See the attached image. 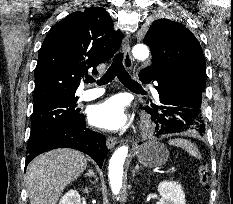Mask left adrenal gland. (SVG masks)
Instances as JSON below:
<instances>
[{
  "label": "left adrenal gland",
  "instance_id": "left-adrenal-gland-1",
  "mask_svg": "<svg viewBox=\"0 0 233 204\" xmlns=\"http://www.w3.org/2000/svg\"><path fill=\"white\" fill-rule=\"evenodd\" d=\"M139 170V165H136L133 172H132V176H135V173Z\"/></svg>",
  "mask_w": 233,
  "mask_h": 204
}]
</instances>
